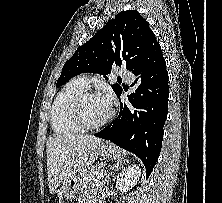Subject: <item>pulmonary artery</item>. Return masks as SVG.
I'll list each match as a JSON object with an SVG mask.
<instances>
[{"instance_id":"obj_1","label":"pulmonary artery","mask_w":222,"mask_h":203,"mask_svg":"<svg viewBox=\"0 0 222 203\" xmlns=\"http://www.w3.org/2000/svg\"><path fill=\"white\" fill-rule=\"evenodd\" d=\"M117 74L118 76L126 79L127 81H129L130 79V72L124 68H120L117 70ZM79 85H81L84 88H88L89 84H90V79L87 75H80L77 78H75V80Z\"/></svg>"}]
</instances>
